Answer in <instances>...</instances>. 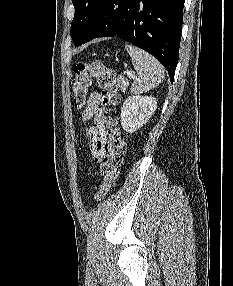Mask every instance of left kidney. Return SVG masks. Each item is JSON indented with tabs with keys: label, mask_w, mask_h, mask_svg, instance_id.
I'll return each mask as SVG.
<instances>
[{
	"label": "left kidney",
	"mask_w": 233,
	"mask_h": 286,
	"mask_svg": "<svg viewBox=\"0 0 233 286\" xmlns=\"http://www.w3.org/2000/svg\"><path fill=\"white\" fill-rule=\"evenodd\" d=\"M157 108L152 96H129L121 109V125L128 133H134L150 119Z\"/></svg>",
	"instance_id": "left-kidney-1"
}]
</instances>
